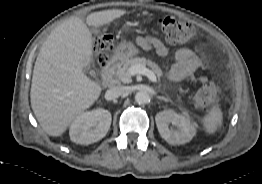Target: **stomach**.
<instances>
[{
    "label": "stomach",
    "instance_id": "obj_1",
    "mask_svg": "<svg viewBox=\"0 0 262 184\" xmlns=\"http://www.w3.org/2000/svg\"><path fill=\"white\" fill-rule=\"evenodd\" d=\"M139 53L138 48L130 41H122L114 49L113 58L126 61Z\"/></svg>",
    "mask_w": 262,
    "mask_h": 184
}]
</instances>
